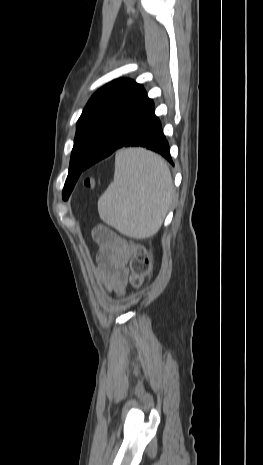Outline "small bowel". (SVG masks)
<instances>
[{"mask_svg": "<svg viewBox=\"0 0 263 465\" xmlns=\"http://www.w3.org/2000/svg\"><path fill=\"white\" fill-rule=\"evenodd\" d=\"M94 238L98 244L105 284L110 290L123 293L129 274L126 266L128 253L121 249L118 240L108 230H95Z\"/></svg>", "mask_w": 263, "mask_h": 465, "instance_id": "obj_1", "label": "small bowel"}]
</instances>
